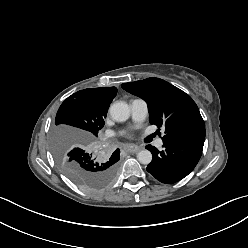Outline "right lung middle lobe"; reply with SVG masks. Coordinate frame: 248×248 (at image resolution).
I'll return each mask as SVG.
<instances>
[{"label": "right lung middle lobe", "mask_w": 248, "mask_h": 248, "mask_svg": "<svg viewBox=\"0 0 248 248\" xmlns=\"http://www.w3.org/2000/svg\"><path fill=\"white\" fill-rule=\"evenodd\" d=\"M107 111L94 108L82 91L68 97L60 106L55 124H67L85 130L89 138L97 137L104 126ZM69 135L57 133L56 139H67ZM62 148L60 144L54 145L55 157L63 172L77 185L87 191H98L107 187L115 178L119 157H99L89 149Z\"/></svg>", "instance_id": "right-lung-middle-lobe-1"}]
</instances>
